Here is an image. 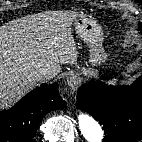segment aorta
<instances>
[{
	"label": "aorta",
	"instance_id": "aorta-1",
	"mask_svg": "<svg viewBox=\"0 0 142 142\" xmlns=\"http://www.w3.org/2000/svg\"><path fill=\"white\" fill-rule=\"evenodd\" d=\"M80 129L88 142H101L103 139L104 132L101 126L89 117H82Z\"/></svg>",
	"mask_w": 142,
	"mask_h": 142
}]
</instances>
